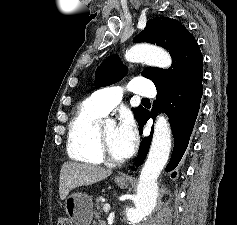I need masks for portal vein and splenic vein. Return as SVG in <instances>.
<instances>
[{
	"label": "portal vein and splenic vein",
	"instance_id": "1",
	"mask_svg": "<svg viewBox=\"0 0 237 225\" xmlns=\"http://www.w3.org/2000/svg\"><path fill=\"white\" fill-rule=\"evenodd\" d=\"M103 210H104V212H109L110 211V204L109 203H105L104 205H103Z\"/></svg>",
	"mask_w": 237,
	"mask_h": 225
}]
</instances>
